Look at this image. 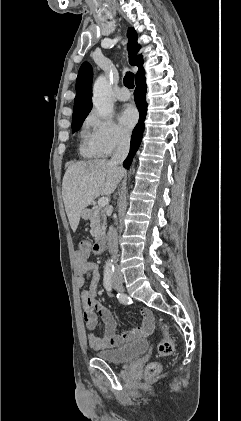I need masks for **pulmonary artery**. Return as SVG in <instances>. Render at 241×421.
<instances>
[{"instance_id":"obj_1","label":"pulmonary artery","mask_w":241,"mask_h":421,"mask_svg":"<svg viewBox=\"0 0 241 421\" xmlns=\"http://www.w3.org/2000/svg\"><path fill=\"white\" fill-rule=\"evenodd\" d=\"M116 98L119 101H127L130 99V92L126 88L123 87L117 92Z\"/></svg>"}]
</instances>
